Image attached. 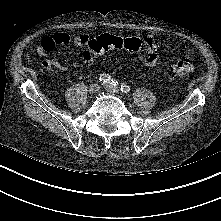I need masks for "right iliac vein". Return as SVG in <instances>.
I'll use <instances>...</instances> for the list:
<instances>
[{
    "instance_id": "obj_1",
    "label": "right iliac vein",
    "mask_w": 221,
    "mask_h": 221,
    "mask_svg": "<svg viewBox=\"0 0 221 221\" xmlns=\"http://www.w3.org/2000/svg\"><path fill=\"white\" fill-rule=\"evenodd\" d=\"M99 89H100V86H99L98 84H91V85L89 86V92H90L91 94H94V93L98 92Z\"/></svg>"
}]
</instances>
